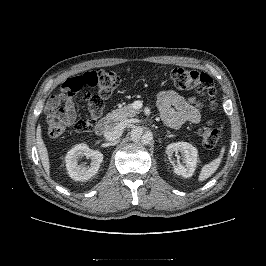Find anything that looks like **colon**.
I'll return each mask as SVG.
<instances>
[{
	"instance_id": "1",
	"label": "colon",
	"mask_w": 266,
	"mask_h": 266,
	"mask_svg": "<svg viewBox=\"0 0 266 266\" xmlns=\"http://www.w3.org/2000/svg\"><path fill=\"white\" fill-rule=\"evenodd\" d=\"M170 78L173 85L180 90L191 89L200 93L206 102L210 111H215L216 90L212 78L203 72L191 70L183 67L172 69ZM120 84L118 75L109 70L88 71L74 76L66 81L62 88V94L69 92L75 93L85 87H95L98 90L97 95H88L85 97L88 112L83 118H75L72 125L77 131L90 130L97 118L100 116L104 101L111 98ZM61 96L51 98L46 106L47 111V131L51 137L61 136L65 129L66 123L59 118L58 108ZM200 140L206 148H214L221 136L220 129L208 121L199 128Z\"/></svg>"
}]
</instances>
